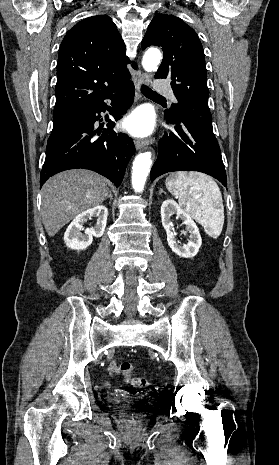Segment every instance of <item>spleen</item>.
Returning <instances> with one entry per match:
<instances>
[{"instance_id":"1","label":"spleen","mask_w":279,"mask_h":465,"mask_svg":"<svg viewBox=\"0 0 279 465\" xmlns=\"http://www.w3.org/2000/svg\"><path fill=\"white\" fill-rule=\"evenodd\" d=\"M165 184L179 198V205L204 227L209 236L217 238L221 234L223 200L217 183L210 176L180 171L167 177Z\"/></svg>"}]
</instances>
